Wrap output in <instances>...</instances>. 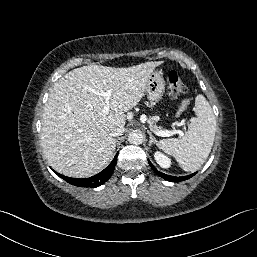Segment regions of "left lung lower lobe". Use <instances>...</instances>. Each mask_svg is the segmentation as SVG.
Wrapping results in <instances>:
<instances>
[{"mask_svg":"<svg viewBox=\"0 0 257 257\" xmlns=\"http://www.w3.org/2000/svg\"><path fill=\"white\" fill-rule=\"evenodd\" d=\"M149 161V160H148ZM149 164L151 166V168L156 172V174H158L159 176H161L162 178H164L165 180L171 181V182H180V181H184L187 180L189 178H191L192 176H194L196 173H193L191 175L188 176H183V177H175V176H170V175H166L164 173H161L160 171H158L153 165L152 163L149 161Z\"/></svg>","mask_w":257,"mask_h":257,"instance_id":"left-lung-lower-lobe-1","label":"left lung lower lobe"}]
</instances>
